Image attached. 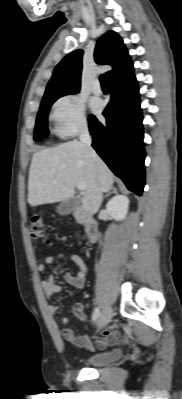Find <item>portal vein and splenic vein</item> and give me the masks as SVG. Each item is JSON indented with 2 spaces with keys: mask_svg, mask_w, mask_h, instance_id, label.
I'll use <instances>...</instances> for the list:
<instances>
[{
  "mask_svg": "<svg viewBox=\"0 0 182 399\" xmlns=\"http://www.w3.org/2000/svg\"><path fill=\"white\" fill-rule=\"evenodd\" d=\"M77 188H78L80 191H84V190H85V184L82 183V182H80V183L77 184Z\"/></svg>",
  "mask_w": 182,
  "mask_h": 399,
  "instance_id": "obj_1",
  "label": "portal vein and splenic vein"
}]
</instances>
